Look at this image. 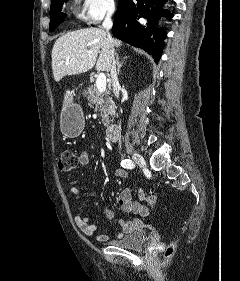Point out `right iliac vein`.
Segmentation results:
<instances>
[{"label": "right iliac vein", "mask_w": 240, "mask_h": 281, "mask_svg": "<svg viewBox=\"0 0 240 281\" xmlns=\"http://www.w3.org/2000/svg\"><path fill=\"white\" fill-rule=\"evenodd\" d=\"M132 159L137 163L139 164L140 166H146V162L144 160V158L139 155L138 153H133L132 154Z\"/></svg>", "instance_id": "1"}]
</instances>
